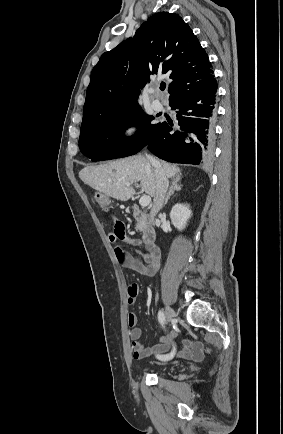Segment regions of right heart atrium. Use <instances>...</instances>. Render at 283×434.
Wrapping results in <instances>:
<instances>
[{"mask_svg":"<svg viewBox=\"0 0 283 434\" xmlns=\"http://www.w3.org/2000/svg\"><path fill=\"white\" fill-rule=\"evenodd\" d=\"M142 132V123L136 117L126 119L118 129V139L122 143H131L136 140Z\"/></svg>","mask_w":283,"mask_h":434,"instance_id":"d8ad5b80","label":"right heart atrium"}]
</instances>
